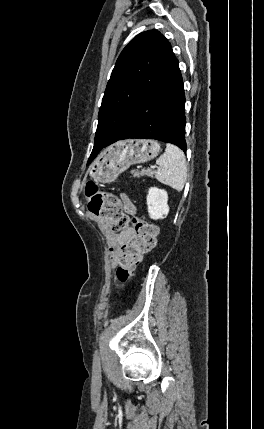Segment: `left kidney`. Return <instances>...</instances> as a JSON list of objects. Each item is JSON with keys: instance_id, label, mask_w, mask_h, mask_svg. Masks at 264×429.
<instances>
[{"instance_id": "1", "label": "left kidney", "mask_w": 264, "mask_h": 429, "mask_svg": "<svg viewBox=\"0 0 264 429\" xmlns=\"http://www.w3.org/2000/svg\"><path fill=\"white\" fill-rule=\"evenodd\" d=\"M168 194L166 190L151 187L148 190L147 206L151 219H164L169 213Z\"/></svg>"}]
</instances>
